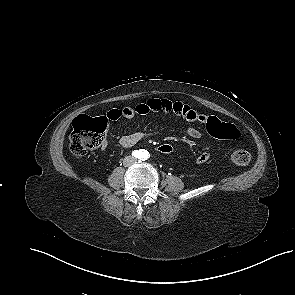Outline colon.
Wrapping results in <instances>:
<instances>
[{
	"label": "colon",
	"instance_id": "1",
	"mask_svg": "<svg viewBox=\"0 0 295 295\" xmlns=\"http://www.w3.org/2000/svg\"><path fill=\"white\" fill-rule=\"evenodd\" d=\"M107 119L105 117H90L80 115L73 121V130L69 137L70 149L74 156L85 157L90 151L99 147L105 137ZM210 134L221 139L236 140L240 132L233 124L222 123L211 120L207 125ZM161 153L171 155L175 148L171 144L162 142L158 146ZM232 161L238 167H245L249 164L251 156L244 149H237L232 154Z\"/></svg>",
	"mask_w": 295,
	"mask_h": 295
}]
</instances>
